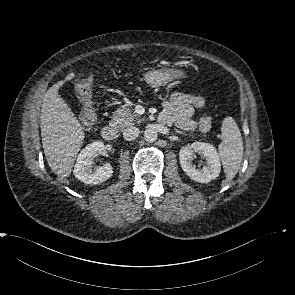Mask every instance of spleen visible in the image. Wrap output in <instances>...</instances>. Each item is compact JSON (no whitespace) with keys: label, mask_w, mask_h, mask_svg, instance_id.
Listing matches in <instances>:
<instances>
[{"label":"spleen","mask_w":295,"mask_h":295,"mask_svg":"<svg viewBox=\"0 0 295 295\" xmlns=\"http://www.w3.org/2000/svg\"><path fill=\"white\" fill-rule=\"evenodd\" d=\"M223 141L219 144L218 152L221 159L226 180H232L238 173L243 158L242 136L235 120L226 117L221 126Z\"/></svg>","instance_id":"3e777b00"}]
</instances>
